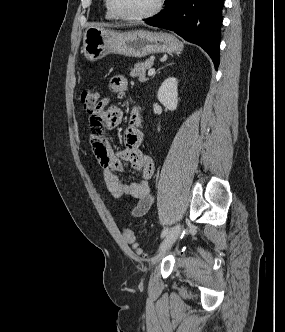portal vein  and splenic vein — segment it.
<instances>
[{
  "label": "portal vein and splenic vein",
  "mask_w": 285,
  "mask_h": 332,
  "mask_svg": "<svg viewBox=\"0 0 285 332\" xmlns=\"http://www.w3.org/2000/svg\"><path fill=\"white\" fill-rule=\"evenodd\" d=\"M154 74H155V69H154V68L149 69V71H148V76H152V75H154Z\"/></svg>",
  "instance_id": "18ae733b"
}]
</instances>
